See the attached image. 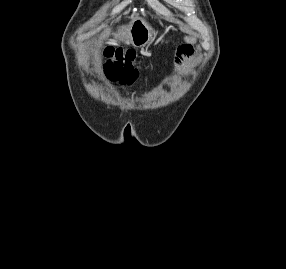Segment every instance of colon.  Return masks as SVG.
<instances>
[{
  "instance_id": "1",
  "label": "colon",
  "mask_w": 286,
  "mask_h": 269,
  "mask_svg": "<svg viewBox=\"0 0 286 269\" xmlns=\"http://www.w3.org/2000/svg\"><path fill=\"white\" fill-rule=\"evenodd\" d=\"M106 58L105 71L108 76L122 82H132L137 77L135 65V52L122 50L112 45H107L103 50Z\"/></svg>"
}]
</instances>
